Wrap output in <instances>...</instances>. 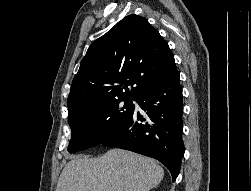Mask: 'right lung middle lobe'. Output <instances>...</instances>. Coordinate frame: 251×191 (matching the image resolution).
Here are the masks:
<instances>
[{"instance_id":"right-lung-middle-lobe-1","label":"right lung middle lobe","mask_w":251,"mask_h":191,"mask_svg":"<svg viewBox=\"0 0 251 191\" xmlns=\"http://www.w3.org/2000/svg\"><path fill=\"white\" fill-rule=\"evenodd\" d=\"M134 110L135 106L130 98L68 109V121L72 130L68 151L78 152L101 144L128 120Z\"/></svg>"}]
</instances>
